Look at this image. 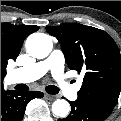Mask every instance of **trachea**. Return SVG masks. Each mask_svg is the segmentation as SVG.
Segmentation results:
<instances>
[{"mask_svg":"<svg viewBox=\"0 0 121 121\" xmlns=\"http://www.w3.org/2000/svg\"><path fill=\"white\" fill-rule=\"evenodd\" d=\"M18 90H28V87L24 84H19L18 85ZM46 91L50 94H57L59 92V89L56 86L49 85L46 87Z\"/></svg>","mask_w":121,"mask_h":121,"instance_id":"obj_1","label":"trachea"}]
</instances>
